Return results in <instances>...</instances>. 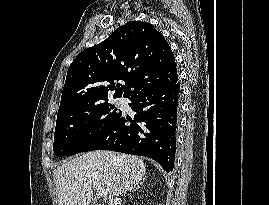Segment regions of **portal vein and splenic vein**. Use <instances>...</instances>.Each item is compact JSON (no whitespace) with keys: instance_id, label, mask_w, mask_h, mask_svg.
Wrapping results in <instances>:
<instances>
[{"instance_id":"portal-vein-and-splenic-vein-1","label":"portal vein and splenic vein","mask_w":269,"mask_h":205,"mask_svg":"<svg viewBox=\"0 0 269 205\" xmlns=\"http://www.w3.org/2000/svg\"><path fill=\"white\" fill-rule=\"evenodd\" d=\"M94 187L96 188L97 195L99 197H106V196H108V191L106 189H104L101 185L95 184Z\"/></svg>"}]
</instances>
